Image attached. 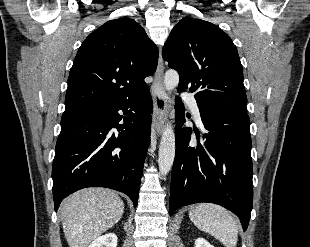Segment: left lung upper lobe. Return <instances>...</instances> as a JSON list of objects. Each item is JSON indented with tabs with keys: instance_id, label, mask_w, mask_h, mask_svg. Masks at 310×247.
Instances as JSON below:
<instances>
[{
	"instance_id": "left-lung-upper-lobe-1",
	"label": "left lung upper lobe",
	"mask_w": 310,
	"mask_h": 247,
	"mask_svg": "<svg viewBox=\"0 0 310 247\" xmlns=\"http://www.w3.org/2000/svg\"><path fill=\"white\" fill-rule=\"evenodd\" d=\"M162 57L179 73L178 91L195 92L198 106L246 113L240 58L231 38L219 27L183 18L172 29Z\"/></svg>"
}]
</instances>
